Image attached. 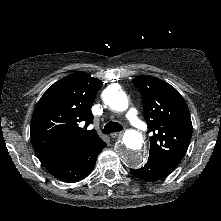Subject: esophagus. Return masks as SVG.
I'll return each instance as SVG.
<instances>
[{
  "label": "esophagus",
  "mask_w": 221,
  "mask_h": 221,
  "mask_svg": "<svg viewBox=\"0 0 221 221\" xmlns=\"http://www.w3.org/2000/svg\"><path fill=\"white\" fill-rule=\"evenodd\" d=\"M122 133H123V132H113V133L110 134V136H111L112 138H117V137L121 136Z\"/></svg>",
  "instance_id": "obj_1"
}]
</instances>
